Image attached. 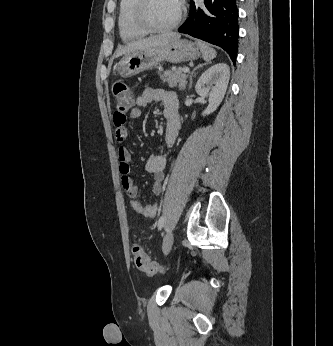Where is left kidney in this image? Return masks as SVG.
Listing matches in <instances>:
<instances>
[{
    "label": "left kidney",
    "mask_w": 333,
    "mask_h": 346,
    "mask_svg": "<svg viewBox=\"0 0 333 346\" xmlns=\"http://www.w3.org/2000/svg\"><path fill=\"white\" fill-rule=\"evenodd\" d=\"M230 78L229 66L218 63L208 68L198 79L195 90L198 95L208 97L209 105L202 115L213 113L222 102Z\"/></svg>",
    "instance_id": "obj_1"
}]
</instances>
